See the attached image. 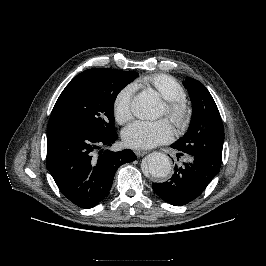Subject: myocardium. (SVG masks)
<instances>
[{
	"mask_svg": "<svg viewBox=\"0 0 266 266\" xmlns=\"http://www.w3.org/2000/svg\"><path fill=\"white\" fill-rule=\"evenodd\" d=\"M165 115L180 130H185L192 119L193 111L185 99L166 100Z\"/></svg>",
	"mask_w": 266,
	"mask_h": 266,
	"instance_id": "f54148a6",
	"label": "myocardium"
}]
</instances>
